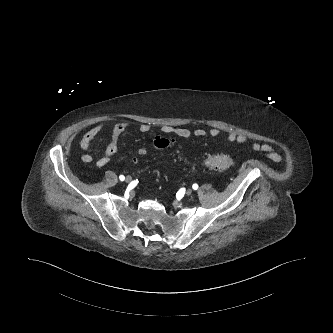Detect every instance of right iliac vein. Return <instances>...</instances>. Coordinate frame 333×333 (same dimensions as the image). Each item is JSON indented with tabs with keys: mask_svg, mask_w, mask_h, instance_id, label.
<instances>
[{
	"mask_svg": "<svg viewBox=\"0 0 333 333\" xmlns=\"http://www.w3.org/2000/svg\"><path fill=\"white\" fill-rule=\"evenodd\" d=\"M131 180H132V177H131V176H127V177L125 178V182H126V183L131 182Z\"/></svg>",
	"mask_w": 333,
	"mask_h": 333,
	"instance_id": "right-iliac-vein-1",
	"label": "right iliac vein"
}]
</instances>
